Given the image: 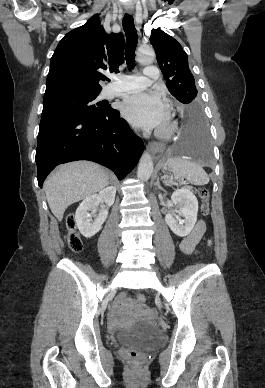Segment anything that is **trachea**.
I'll return each mask as SVG.
<instances>
[{"label":"trachea","instance_id":"obj_1","mask_svg":"<svg viewBox=\"0 0 265 388\" xmlns=\"http://www.w3.org/2000/svg\"><path fill=\"white\" fill-rule=\"evenodd\" d=\"M123 29L126 34V61L130 67L135 66L134 55L138 43L137 31L134 26L133 16L126 13L122 21Z\"/></svg>","mask_w":265,"mask_h":388}]
</instances>
